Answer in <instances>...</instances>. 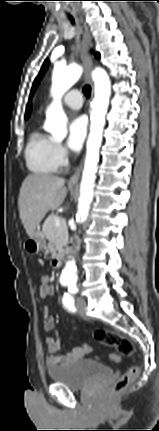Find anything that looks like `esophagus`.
<instances>
[{
	"instance_id": "esophagus-1",
	"label": "esophagus",
	"mask_w": 159,
	"mask_h": 431,
	"mask_svg": "<svg viewBox=\"0 0 159 431\" xmlns=\"http://www.w3.org/2000/svg\"><path fill=\"white\" fill-rule=\"evenodd\" d=\"M83 28H84V44H83V50H82V59L86 66L87 75L90 80V73L93 66V60L89 53L91 45H92V38L88 29V26L83 22ZM91 82V80H90ZM92 84V82H91ZM92 94H93V85H92ZM83 161H81L80 165L75 170L74 174L70 177L69 183H77L80 179L82 168H83Z\"/></svg>"
}]
</instances>
